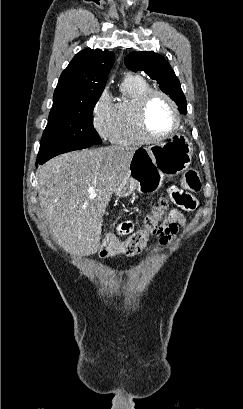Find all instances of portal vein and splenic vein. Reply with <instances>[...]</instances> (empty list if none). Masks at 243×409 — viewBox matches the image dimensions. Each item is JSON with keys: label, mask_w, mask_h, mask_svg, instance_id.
I'll return each instance as SVG.
<instances>
[{"label": "portal vein and splenic vein", "mask_w": 243, "mask_h": 409, "mask_svg": "<svg viewBox=\"0 0 243 409\" xmlns=\"http://www.w3.org/2000/svg\"><path fill=\"white\" fill-rule=\"evenodd\" d=\"M88 193H89V195H90V197H95L96 196V189L94 188V187H90L89 189H88Z\"/></svg>", "instance_id": "18ae733b"}]
</instances>
